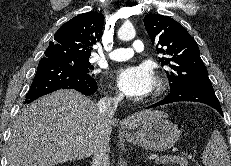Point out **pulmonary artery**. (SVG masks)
<instances>
[{
  "label": "pulmonary artery",
  "instance_id": "obj_1",
  "mask_svg": "<svg viewBox=\"0 0 231 166\" xmlns=\"http://www.w3.org/2000/svg\"><path fill=\"white\" fill-rule=\"evenodd\" d=\"M144 44L141 40H134L128 48H116L109 54V58L115 61H124L131 58L136 52H142Z\"/></svg>",
  "mask_w": 231,
  "mask_h": 166
}]
</instances>
